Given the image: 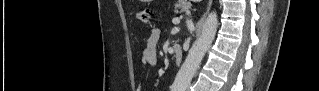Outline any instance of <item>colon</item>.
<instances>
[{
	"label": "colon",
	"mask_w": 319,
	"mask_h": 91,
	"mask_svg": "<svg viewBox=\"0 0 319 91\" xmlns=\"http://www.w3.org/2000/svg\"><path fill=\"white\" fill-rule=\"evenodd\" d=\"M138 18L146 25L152 24V10L150 8L141 9L138 13Z\"/></svg>",
	"instance_id": "5ec220e1"
}]
</instances>
